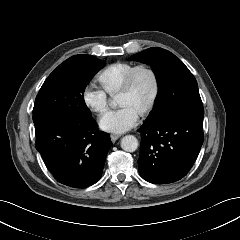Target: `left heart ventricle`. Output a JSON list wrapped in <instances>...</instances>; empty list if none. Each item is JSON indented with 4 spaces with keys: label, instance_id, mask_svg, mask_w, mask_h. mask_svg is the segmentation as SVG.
<instances>
[{
    "label": "left heart ventricle",
    "instance_id": "1",
    "mask_svg": "<svg viewBox=\"0 0 240 240\" xmlns=\"http://www.w3.org/2000/svg\"><path fill=\"white\" fill-rule=\"evenodd\" d=\"M153 80L146 71H139L134 78L133 88L130 92L117 96L119 106H127L138 115L149 103L153 94Z\"/></svg>",
    "mask_w": 240,
    "mask_h": 240
}]
</instances>
